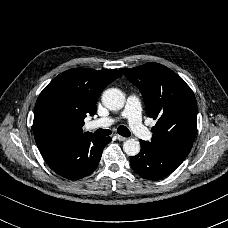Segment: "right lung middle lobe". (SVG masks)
I'll return each mask as SVG.
<instances>
[{"label": "right lung middle lobe", "instance_id": "right-lung-middle-lobe-1", "mask_svg": "<svg viewBox=\"0 0 228 228\" xmlns=\"http://www.w3.org/2000/svg\"><path fill=\"white\" fill-rule=\"evenodd\" d=\"M69 119V113L56 101L43 103L35 114V120L40 126L53 131L63 128Z\"/></svg>", "mask_w": 228, "mask_h": 228}]
</instances>
